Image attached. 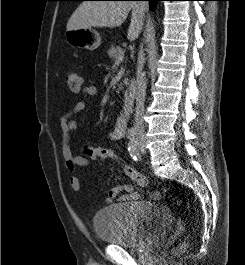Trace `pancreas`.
Instances as JSON below:
<instances>
[{
  "label": "pancreas",
  "instance_id": "1",
  "mask_svg": "<svg viewBox=\"0 0 245 265\" xmlns=\"http://www.w3.org/2000/svg\"><path fill=\"white\" fill-rule=\"evenodd\" d=\"M107 53L111 59H116L119 54L124 53V50L120 46L115 47L114 45H111Z\"/></svg>",
  "mask_w": 245,
  "mask_h": 265
}]
</instances>
